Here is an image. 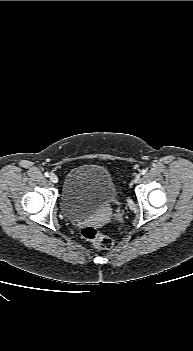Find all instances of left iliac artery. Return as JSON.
Returning a JSON list of instances; mask_svg holds the SVG:
<instances>
[{
    "instance_id": "44dca946",
    "label": "left iliac artery",
    "mask_w": 193,
    "mask_h": 351,
    "mask_svg": "<svg viewBox=\"0 0 193 351\" xmlns=\"http://www.w3.org/2000/svg\"><path fill=\"white\" fill-rule=\"evenodd\" d=\"M146 172H147V170L143 169V170L141 171V174L144 175V174H146Z\"/></svg>"
}]
</instances>
